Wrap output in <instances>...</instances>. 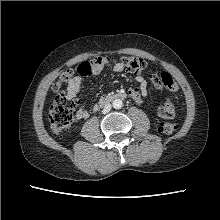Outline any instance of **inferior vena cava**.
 Returning a JSON list of instances; mask_svg holds the SVG:
<instances>
[{
  "mask_svg": "<svg viewBox=\"0 0 220 220\" xmlns=\"http://www.w3.org/2000/svg\"><path fill=\"white\" fill-rule=\"evenodd\" d=\"M111 104H106L104 109L102 110L103 114H107L111 110Z\"/></svg>",
  "mask_w": 220,
  "mask_h": 220,
  "instance_id": "1",
  "label": "inferior vena cava"
}]
</instances>
